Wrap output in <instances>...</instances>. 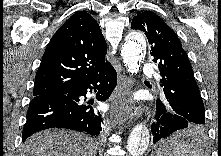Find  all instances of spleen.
Instances as JSON below:
<instances>
[{"instance_id":"spleen-1","label":"spleen","mask_w":221,"mask_h":156,"mask_svg":"<svg viewBox=\"0 0 221 156\" xmlns=\"http://www.w3.org/2000/svg\"><path fill=\"white\" fill-rule=\"evenodd\" d=\"M164 147L170 156H202L196 147L180 139L170 140Z\"/></svg>"}]
</instances>
